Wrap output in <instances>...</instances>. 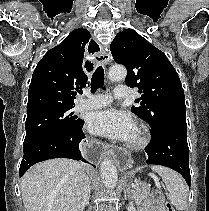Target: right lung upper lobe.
<instances>
[{"label":"right lung upper lobe","instance_id":"cb5924a9","mask_svg":"<svg viewBox=\"0 0 209 211\" xmlns=\"http://www.w3.org/2000/svg\"><path fill=\"white\" fill-rule=\"evenodd\" d=\"M89 39L86 29H75L44 55L32 75L27 112L74 106L73 90L86 85L88 72L93 69V64L85 58Z\"/></svg>","mask_w":209,"mask_h":211}]
</instances>
